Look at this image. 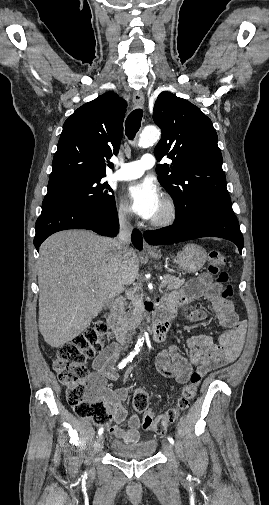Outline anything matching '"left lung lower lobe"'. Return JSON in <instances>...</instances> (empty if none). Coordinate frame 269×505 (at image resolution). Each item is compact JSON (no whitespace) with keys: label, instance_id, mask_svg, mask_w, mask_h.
I'll use <instances>...</instances> for the list:
<instances>
[{"label":"left lung lower lobe","instance_id":"0a47b994","mask_svg":"<svg viewBox=\"0 0 269 505\" xmlns=\"http://www.w3.org/2000/svg\"><path fill=\"white\" fill-rule=\"evenodd\" d=\"M200 237H220L232 241L242 252L244 240L237 218L228 205H216L205 208L192 220L144 233L145 240L151 245L173 244Z\"/></svg>","mask_w":269,"mask_h":505}]
</instances>
